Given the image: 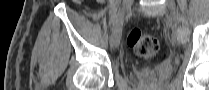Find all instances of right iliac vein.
Masks as SVG:
<instances>
[{
    "mask_svg": "<svg viewBox=\"0 0 209 90\" xmlns=\"http://www.w3.org/2000/svg\"><path fill=\"white\" fill-rule=\"evenodd\" d=\"M132 1L124 2V12L128 11L131 8ZM122 26H123V18L119 19L116 27L113 30L110 45L112 48H117L120 44L121 35H122Z\"/></svg>",
    "mask_w": 209,
    "mask_h": 90,
    "instance_id": "right-iliac-vein-1",
    "label": "right iliac vein"
}]
</instances>
